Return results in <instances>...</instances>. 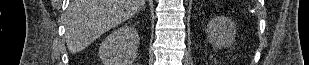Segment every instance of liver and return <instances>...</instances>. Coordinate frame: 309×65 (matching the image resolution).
Masks as SVG:
<instances>
[{
    "mask_svg": "<svg viewBox=\"0 0 309 65\" xmlns=\"http://www.w3.org/2000/svg\"><path fill=\"white\" fill-rule=\"evenodd\" d=\"M145 0H71L66 11V44L71 53L88 47L104 32L123 23Z\"/></svg>",
    "mask_w": 309,
    "mask_h": 65,
    "instance_id": "1",
    "label": "liver"
}]
</instances>
